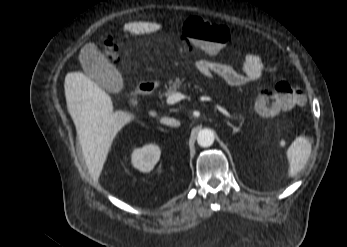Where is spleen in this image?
<instances>
[{
	"label": "spleen",
	"instance_id": "3e777b00",
	"mask_svg": "<svg viewBox=\"0 0 347 247\" xmlns=\"http://www.w3.org/2000/svg\"><path fill=\"white\" fill-rule=\"evenodd\" d=\"M311 154V143L304 136H299L287 150V158L290 164L289 174L294 176L305 165Z\"/></svg>",
	"mask_w": 347,
	"mask_h": 247
}]
</instances>
